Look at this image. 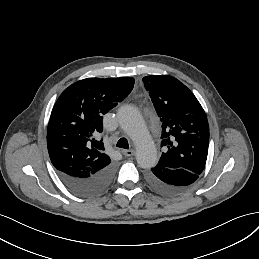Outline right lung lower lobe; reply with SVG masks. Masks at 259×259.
<instances>
[{"label":"right lung lower lobe","mask_w":259,"mask_h":259,"mask_svg":"<svg viewBox=\"0 0 259 259\" xmlns=\"http://www.w3.org/2000/svg\"><path fill=\"white\" fill-rule=\"evenodd\" d=\"M115 166L111 163L101 171L89 177H74L57 170L61 181L74 193L79 195L91 196L106 190L113 179Z\"/></svg>","instance_id":"98d812e1"}]
</instances>
